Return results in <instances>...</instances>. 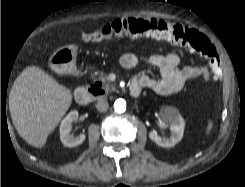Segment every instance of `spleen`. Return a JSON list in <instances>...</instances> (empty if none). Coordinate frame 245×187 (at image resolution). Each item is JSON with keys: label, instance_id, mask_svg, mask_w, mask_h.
Here are the masks:
<instances>
[{"label": "spleen", "instance_id": "1", "mask_svg": "<svg viewBox=\"0 0 245 187\" xmlns=\"http://www.w3.org/2000/svg\"><path fill=\"white\" fill-rule=\"evenodd\" d=\"M212 127H213L212 121H208V125H207V128H206V135H208L210 133Z\"/></svg>", "mask_w": 245, "mask_h": 187}]
</instances>
